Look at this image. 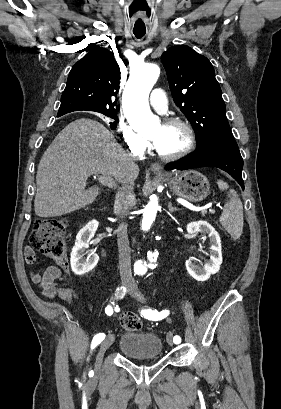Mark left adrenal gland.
Segmentation results:
<instances>
[{
  "label": "left adrenal gland",
  "mask_w": 281,
  "mask_h": 409,
  "mask_svg": "<svg viewBox=\"0 0 281 409\" xmlns=\"http://www.w3.org/2000/svg\"><path fill=\"white\" fill-rule=\"evenodd\" d=\"M168 209H169V213H174V211H180V209H176V207H172V202H168Z\"/></svg>",
  "instance_id": "left-adrenal-gland-1"
}]
</instances>
